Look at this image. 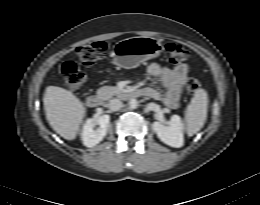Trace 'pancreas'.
<instances>
[{"instance_id":"1","label":"pancreas","mask_w":260,"mask_h":205,"mask_svg":"<svg viewBox=\"0 0 260 205\" xmlns=\"http://www.w3.org/2000/svg\"><path fill=\"white\" fill-rule=\"evenodd\" d=\"M121 90L115 86H103L97 90V95L103 100H107L115 95H118Z\"/></svg>"}]
</instances>
